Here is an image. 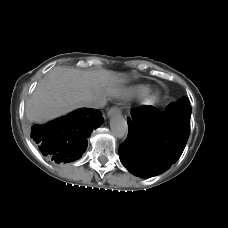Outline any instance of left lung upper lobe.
Here are the masks:
<instances>
[{"mask_svg":"<svg viewBox=\"0 0 228 228\" xmlns=\"http://www.w3.org/2000/svg\"><path fill=\"white\" fill-rule=\"evenodd\" d=\"M178 102H180V103H186L187 105L190 104L189 101H188V99L186 97L181 98Z\"/></svg>","mask_w":228,"mask_h":228,"instance_id":"obj_1","label":"left lung upper lobe"}]
</instances>
